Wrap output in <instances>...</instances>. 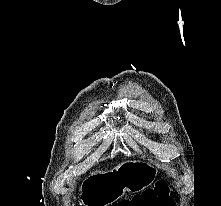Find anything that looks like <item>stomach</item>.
Here are the masks:
<instances>
[{
	"label": "stomach",
	"mask_w": 221,
	"mask_h": 206,
	"mask_svg": "<svg viewBox=\"0 0 221 206\" xmlns=\"http://www.w3.org/2000/svg\"><path fill=\"white\" fill-rule=\"evenodd\" d=\"M157 169L145 161H126L110 172L91 175L81 192L82 206H108L126 191L139 192L150 186Z\"/></svg>",
	"instance_id": "stomach-1"
}]
</instances>
